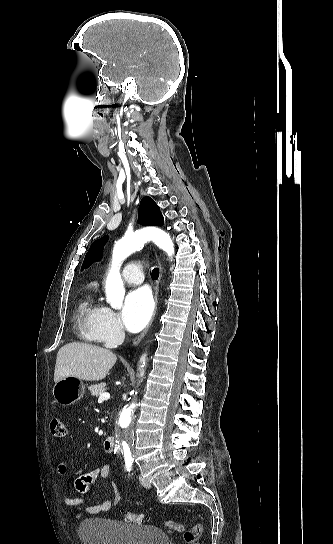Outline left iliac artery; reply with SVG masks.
Segmentation results:
<instances>
[{
	"label": "left iliac artery",
	"mask_w": 333,
	"mask_h": 544,
	"mask_svg": "<svg viewBox=\"0 0 333 544\" xmlns=\"http://www.w3.org/2000/svg\"><path fill=\"white\" fill-rule=\"evenodd\" d=\"M131 468H132L131 462L126 463V469H127V471L130 472V471H131Z\"/></svg>",
	"instance_id": "1"
}]
</instances>
